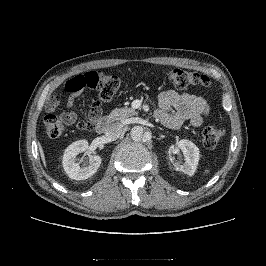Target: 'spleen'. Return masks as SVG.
Returning a JSON list of instances; mask_svg holds the SVG:
<instances>
[{
    "mask_svg": "<svg viewBox=\"0 0 266 266\" xmlns=\"http://www.w3.org/2000/svg\"><path fill=\"white\" fill-rule=\"evenodd\" d=\"M208 173H210V169H205L204 175H207Z\"/></svg>",
    "mask_w": 266,
    "mask_h": 266,
    "instance_id": "obj_1",
    "label": "spleen"
}]
</instances>
